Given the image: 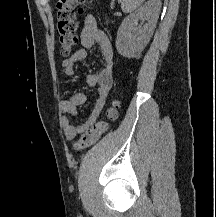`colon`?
I'll return each mask as SVG.
<instances>
[{"mask_svg": "<svg viewBox=\"0 0 216 217\" xmlns=\"http://www.w3.org/2000/svg\"><path fill=\"white\" fill-rule=\"evenodd\" d=\"M90 0H56L55 16L58 31V48L63 58H69L77 44V15L82 14L83 5ZM114 108L107 111V118L114 119ZM107 130V121L101 120L91 125L74 145L76 152L82 151L97 143Z\"/></svg>", "mask_w": 216, "mask_h": 217, "instance_id": "5ec220e1", "label": "colon"}]
</instances>
